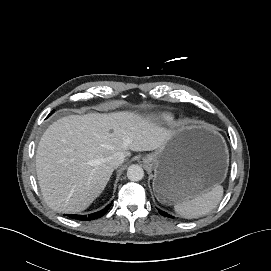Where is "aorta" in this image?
<instances>
[{"instance_id": "obj_1", "label": "aorta", "mask_w": 271, "mask_h": 271, "mask_svg": "<svg viewBox=\"0 0 271 271\" xmlns=\"http://www.w3.org/2000/svg\"><path fill=\"white\" fill-rule=\"evenodd\" d=\"M127 177L130 181H140L144 178V170L140 165L133 164L127 170Z\"/></svg>"}]
</instances>
